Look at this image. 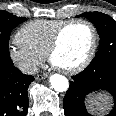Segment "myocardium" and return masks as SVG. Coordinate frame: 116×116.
Instances as JSON below:
<instances>
[{
	"label": "myocardium",
	"instance_id": "f54148a6",
	"mask_svg": "<svg viewBox=\"0 0 116 116\" xmlns=\"http://www.w3.org/2000/svg\"><path fill=\"white\" fill-rule=\"evenodd\" d=\"M74 24H84L89 27L91 34H92L91 46H90V49H89L86 57L84 58V60L81 63H79L78 65L71 67V68H61V67L54 65V63L52 62V57H53V54L56 52V50L59 47L60 40H61V37H62L64 31L69 26L74 25ZM97 46H98V33H97V29L94 26V24L86 19H71V20L65 21L54 33L52 40L50 42V45L46 52V58L54 68L58 69L62 73L76 74V73L83 71L92 62V60L95 56L96 50H97Z\"/></svg>",
	"mask_w": 116,
	"mask_h": 116
}]
</instances>
